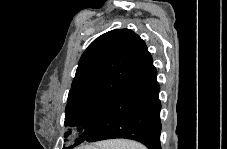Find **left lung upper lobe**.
<instances>
[{"mask_svg": "<svg viewBox=\"0 0 227 149\" xmlns=\"http://www.w3.org/2000/svg\"><path fill=\"white\" fill-rule=\"evenodd\" d=\"M144 45L132 30L119 29L102 34L84 51L69 91L65 125H82L85 131L69 149L84 142L115 102Z\"/></svg>", "mask_w": 227, "mask_h": 149, "instance_id": "5c2ea615", "label": "left lung upper lobe"}]
</instances>
